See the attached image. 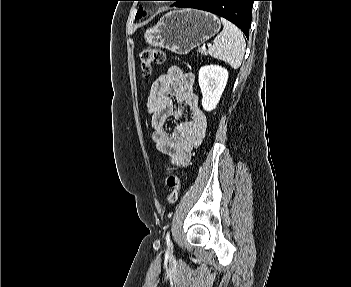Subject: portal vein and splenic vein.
Segmentation results:
<instances>
[{"label": "portal vein and splenic vein", "mask_w": 351, "mask_h": 287, "mask_svg": "<svg viewBox=\"0 0 351 287\" xmlns=\"http://www.w3.org/2000/svg\"><path fill=\"white\" fill-rule=\"evenodd\" d=\"M211 46V44H208V47ZM203 49H205V46H203Z\"/></svg>", "instance_id": "obj_1"}]
</instances>
